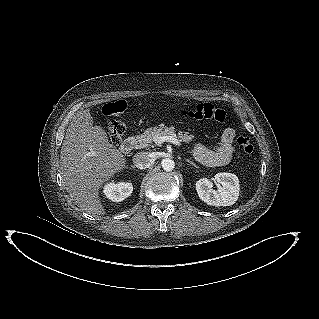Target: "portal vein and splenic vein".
<instances>
[{"mask_svg": "<svg viewBox=\"0 0 319 319\" xmlns=\"http://www.w3.org/2000/svg\"><path fill=\"white\" fill-rule=\"evenodd\" d=\"M154 141L157 145H161L163 142H170L175 145H180V141L173 136H159L156 135Z\"/></svg>", "mask_w": 319, "mask_h": 319, "instance_id": "obj_1", "label": "portal vein and splenic vein"}]
</instances>
